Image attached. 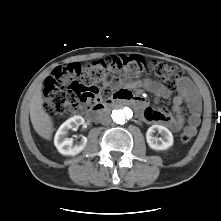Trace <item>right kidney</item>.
Returning <instances> with one entry per match:
<instances>
[{
	"label": "right kidney",
	"instance_id": "obj_1",
	"mask_svg": "<svg viewBox=\"0 0 221 221\" xmlns=\"http://www.w3.org/2000/svg\"><path fill=\"white\" fill-rule=\"evenodd\" d=\"M84 118L81 116H74L66 120L57 130L54 137V144L58 151L63 155H77L79 154L87 143V138L82 137L81 141L73 145V139L68 138L67 134L70 129L84 124Z\"/></svg>",
	"mask_w": 221,
	"mask_h": 221
}]
</instances>
